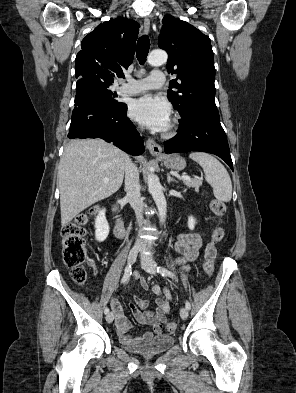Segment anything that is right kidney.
I'll return each mask as SVG.
<instances>
[{"label": "right kidney", "mask_w": 296, "mask_h": 393, "mask_svg": "<svg viewBox=\"0 0 296 393\" xmlns=\"http://www.w3.org/2000/svg\"><path fill=\"white\" fill-rule=\"evenodd\" d=\"M110 227L105 217V209L101 210L95 219V237L98 242H103L109 234Z\"/></svg>", "instance_id": "right-kidney-1"}]
</instances>
